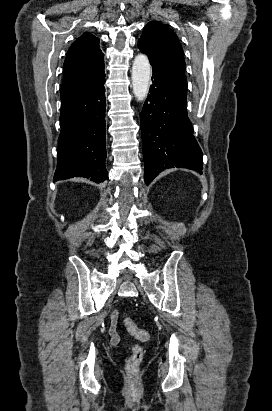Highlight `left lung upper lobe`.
Instances as JSON below:
<instances>
[{
  "label": "left lung upper lobe",
  "instance_id": "left-lung-upper-lobe-1",
  "mask_svg": "<svg viewBox=\"0 0 272 411\" xmlns=\"http://www.w3.org/2000/svg\"><path fill=\"white\" fill-rule=\"evenodd\" d=\"M138 48L149 57L153 70L187 88L183 49L177 35L170 28L151 21L144 27Z\"/></svg>",
  "mask_w": 272,
  "mask_h": 411
}]
</instances>
